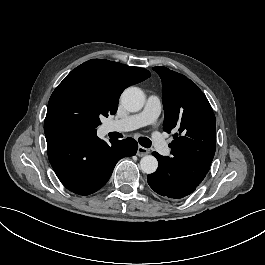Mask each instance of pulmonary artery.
I'll return each mask as SVG.
<instances>
[{
  "instance_id": "pulmonary-artery-1",
  "label": "pulmonary artery",
  "mask_w": 265,
  "mask_h": 265,
  "mask_svg": "<svg viewBox=\"0 0 265 265\" xmlns=\"http://www.w3.org/2000/svg\"><path fill=\"white\" fill-rule=\"evenodd\" d=\"M147 104L148 105L141 113L130 115L120 120H113L107 124V128L110 131L121 133L129 130H138L145 126H151L157 121L160 113V97L157 94L148 95Z\"/></svg>"
}]
</instances>
